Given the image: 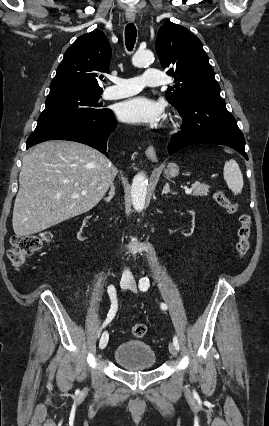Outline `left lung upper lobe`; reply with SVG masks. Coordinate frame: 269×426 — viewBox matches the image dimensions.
Listing matches in <instances>:
<instances>
[{
	"instance_id": "5c2ea615",
	"label": "left lung upper lobe",
	"mask_w": 269,
	"mask_h": 426,
	"mask_svg": "<svg viewBox=\"0 0 269 426\" xmlns=\"http://www.w3.org/2000/svg\"><path fill=\"white\" fill-rule=\"evenodd\" d=\"M155 49L176 85L165 96L177 110L203 95H219L220 86L201 41L188 29L172 22L159 29Z\"/></svg>"
}]
</instances>
